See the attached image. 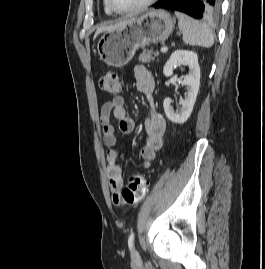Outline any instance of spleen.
Segmentation results:
<instances>
[{"label": "spleen", "mask_w": 265, "mask_h": 269, "mask_svg": "<svg viewBox=\"0 0 265 269\" xmlns=\"http://www.w3.org/2000/svg\"><path fill=\"white\" fill-rule=\"evenodd\" d=\"M175 15L178 18V27L186 44L204 48H210L213 45L214 35L206 24L179 11H175Z\"/></svg>", "instance_id": "3e777b00"}]
</instances>
